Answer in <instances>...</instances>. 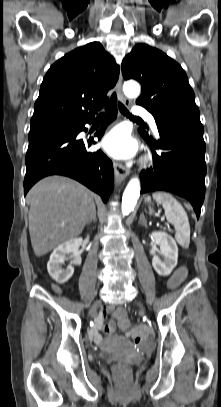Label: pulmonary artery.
<instances>
[{
  "label": "pulmonary artery",
  "mask_w": 221,
  "mask_h": 407,
  "mask_svg": "<svg viewBox=\"0 0 221 407\" xmlns=\"http://www.w3.org/2000/svg\"><path fill=\"white\" fill-rule=\"evenodd\" d=\"M132 113L135 116H140V117L145 118L149 122L151 128L155 132H157V125H156L155 118L148 111H146L145 109H143L141 107H134L132 110Z\"/></svg>",
  "instance_id": "obj_1"
}]
</instances>
